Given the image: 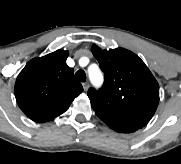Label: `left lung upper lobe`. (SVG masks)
Wrapping results in <instances>:
<instances>
[{"mask_svg":"<svg viewBox=\"0 0 181 164\" xmlns=\"http://www.w3.org/2000/svg\"><path fill=\"white\" fill-rule=\"evenodd\" d=\"M92 53L104 72L99 90L90 88L88 97L98 115H105L142 128L154 115L159 102V85L144 62L133 52L123 49Z\"/></svg>","mask_w":181,"mask_h":164,"instance_id":"5c2ea615","label":"left lung upper lobe"}]
</instances>
